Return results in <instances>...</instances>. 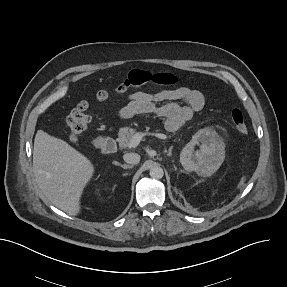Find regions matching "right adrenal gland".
<instances>
[{"label":"right adrenal gland","mask_w":287,"mask_h":287,"mask_svg":"<svg viewBox=\"0 0 287 287\" xmlns=\"http://www.w3.org/2000/svg\"><path fill=\"white\" fill-rule=\"evenodd\" d=\"M118 166L122 167L123 169H129L131 168L132 166L130 165H127V164H120V163H116Z\"/></svg>","instance_id":"2a0ac1e0"}]
</instances>
